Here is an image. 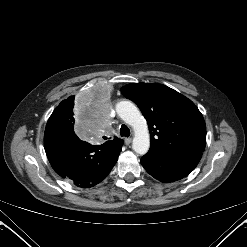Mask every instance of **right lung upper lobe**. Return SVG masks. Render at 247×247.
<instances>
[{
  "label": "right lung upper lobe",
  "instance_id": "1",
  "mask_svg": "<svg viewBox=\"0 0 247 247\" xmlns=\"http://www.w3.org/2000/svg\"><path fill=\"white\" fill-rule=\"evenodd\" d=\"M74 102V96H70L68 99L62 101L59 106L56 107L55 110H58L60 108H63L65 106H68V105H72ZM52 116V115H51ZM104 144H108V145H122L123 144V141L121 139H118V138H115L114 140L112 141H107L105 142Z\"/></svg>",
  "mask_w": 247,
  "mask_h": 247
}]
</instances>
